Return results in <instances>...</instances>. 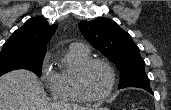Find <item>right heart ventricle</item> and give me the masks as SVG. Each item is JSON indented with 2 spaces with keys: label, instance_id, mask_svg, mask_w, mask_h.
I'll return each instance as SVG.
<instances>
[{
  "label": "right heart ventricle",
  "instance_id": "1",
  "mask_svg": "<svg viewBox=\"0 0 171 110\" xmlns=\"http://www.w3.org/2000/svg\"><path fill=\"white\" fill-rule=\"evenodd\" d=\"M90 59V52L78 45H71L62 59V67L48 83L52 97L60 102L81 103L85 100L75 88V74Z\"/></svg>",
  "mask_w": 171,
  "mask_h": 110
}]
</instances>
